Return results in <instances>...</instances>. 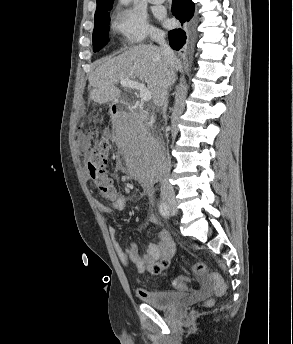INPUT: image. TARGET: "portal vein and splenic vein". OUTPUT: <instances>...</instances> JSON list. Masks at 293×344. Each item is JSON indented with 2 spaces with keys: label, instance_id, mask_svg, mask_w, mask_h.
<instances>
[{
  "label": "portal vein and splenic vein",
  "instance_id": "portal-vein-and-splenic-vein-1",
  "mask_svg": "<svg viewBox=\"0 0 293 344\" xmlns=\"http://www.w3.org/2000/svg\"><path fill=\"white\" fill-rule=\"evenodd\" d=\"M120 84L122 87H128L132 89H137L140 91V98L142 101H149L151 100V92L149 89L145 86L144 83H140L138 81L130 80V79H121Z\"/></svg>",
  "mask_w": 293,
  "mask_h": 344
}]
</instances>
